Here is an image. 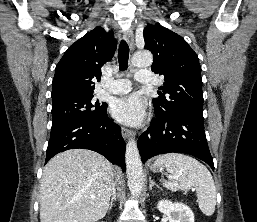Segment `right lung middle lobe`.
<instances>
[{
  "label": "right lung middle lobe",
  "instance_id": "1",
  "mask_svg": "<svg viewBox=\"0 0 257 222\" xmlns=\"http://www.w3.org/2000/svg\"><path fill=\"white\" fill-rule=\"evenodd\" d=\"M107 104L94 102L93 95L76 96L53 101L52 126L69 120H94L106 113Z\"/></svg>",
  "mask_w": 257,
  "mask_h": 222
}]
</instances>
